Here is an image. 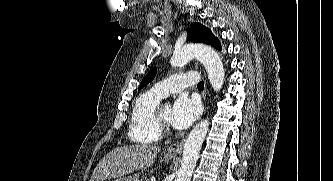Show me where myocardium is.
Masks as SVG:
<instances>
[{"label":"myocardium","instance_id":"f54148a6","mask_svg":"<svg viewBox=\"0 0 333 181\" xmlns=\"http://www.w3.org/2000/svg\"><path fill=\"white\" fill-rule=\"evenodd\" d=\"M163 105L164 104L159 103L158 106L155 108L153 114L155 125L161 132H165L168 130L167 122H165L161 117V109Z\"/></svg>","mask_w":333,"mask_h":181}]
</instances>
